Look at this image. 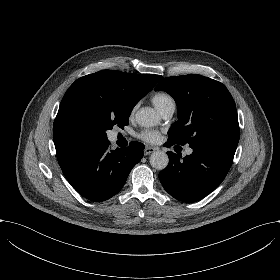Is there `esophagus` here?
Here are the masks:
<instances>
[{
	"label": "esophagus",
	"mask_w": 280,
	"mask_h": 280,
	"mask_svg": "<svg viewBox=\"0 0 280 280\" xmlns=\"http://www.w3.org/2000/svg\"><path fill=\"white\" fill-rule=\"evenodd\" d=\"M155 150H156V148H153V147H145L144 155L147 156V155L153 153Z\"/></svg>",
	"instance_id": "obj_1"
}]
</instances>
